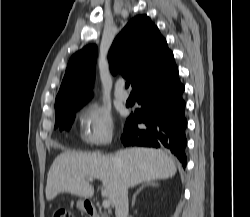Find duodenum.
Returning a JSON list of instances; mask_svg holds the SVG:
<instances>
[{"label":"duodenum","instance_id":"410a0bca","mask_svg":"<svg viewBox=\"0 0 250 217\" xmlns=\"http://www.w3.org/2000/svg\"><path fill=\"white\" fill-rule=\"evenodd\" d=\"M85 210L86 213L90 216V217H96L98 212L96 210V208H94L92 205L90 204H85Z\"/></svg>","mask_w":250,"mask_h":217}]
</instances>
